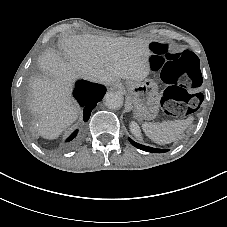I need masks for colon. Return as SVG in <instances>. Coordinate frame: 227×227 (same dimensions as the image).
I'll use <instances>...</instances> for the list:
<instances>
[{
	"mask_svg": "<svg viewBox=\"0 0 227 227\" xmlns=\"http://www.w3.org/2000/svg\"><path fill=\"white\" fill-rule=\"evenodd\" d=\"M148 50L151 69L166 85L161 100L165 112L175 116L195 111L201 97L192 89L202 80L197 55L190 50L174 52L164 41H152Z\"/></svg>",
	"mask_w": 227,
	"mask_h": 227,
	"instance_id": "obj_1",
	"label": "colon"
}]
</instances>
